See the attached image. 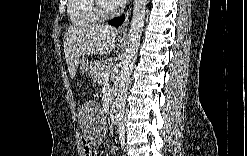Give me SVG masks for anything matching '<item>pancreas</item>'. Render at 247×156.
Here are the masks:
<instances>
[{
  "label": "pancreas",
  "mask_w": 247,
  "mask_h": 156,
  "mask_svg": "<svg viewBox=\"0 0 247 156\" xmlns=\"http://www.w3.org/2000/svg\"><path fill=\"white\" fill-rule=\"evenodd\" d=\"M110 68L111 65L109 62H98L95 64V69L90 72V74L94 78L95 82H97L99 85H103L106 82L105 74L110 71Z\"/></svg>",
  "instance_id": "1"
}]
</instances>
